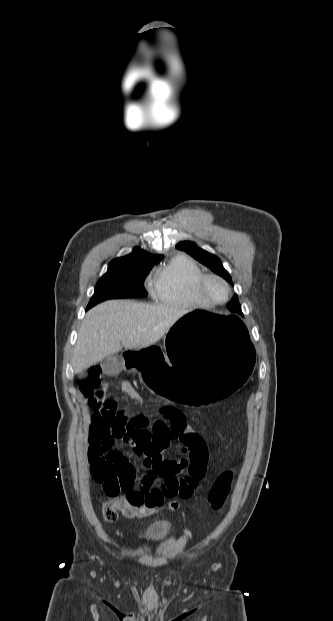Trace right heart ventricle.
Here are the masks:
<instances>
[{"mask_svg": "<svg viewBox=\"0 0 333 621\" xmlns=\"http://www.w3.org/2000/svg\"><path fill=\"white\" fill-rule=\"evenodd\" d=\"M201 268L186 256H176L164 264L153 279L152 296L160 303L180 307H208L197 293Z\"/></svg>", "mask_w": 333, "mask_h": 621, "instance_id": "obj_1", "label": "right heart ventricle"}]
</instances>
